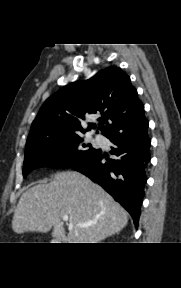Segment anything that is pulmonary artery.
I'll return each mask as SVG.
<instances>
[{
  "label": "pulmonary artery",
  "instance_id": "e3ab8cb5",
  "mask_svg": "<svg viewBox=\"0 0 181 288\" xmlns=\"http://www.w3.org/2000/svg\"><path fill=\"white\" fill-rule=\"evenodd\" d=\"M97 140H98V141H100V140H101V138H100L99 136H97Z\"/></svg>",
  "mask_w": 181,
  "mask_h": 288
}]
</instances>
